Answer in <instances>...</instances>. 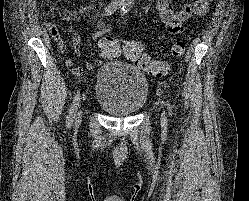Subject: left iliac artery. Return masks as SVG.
Instances as JSON below:
<instances>
[{
	"label": "left iliac artery",
	"instance_id": "1",
	"mask_svg": "<svg viewBox=\"0 0 249 201\" xmlns=\"http://www.w3.org/2000/svg\"><path fill=\"white\" fill-rule=\"evenodd\" d=\"M131 6H132V0H125V3L121 8V15H125L130 10ZM167 108L169 111V115L172 116V112H171L172 105L169 102H167Z\"/></svg>",
	"mask_w": 249,
	"mask_h": 201
}]
</instances>
